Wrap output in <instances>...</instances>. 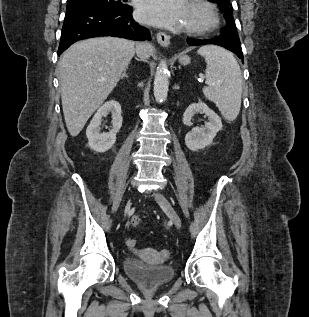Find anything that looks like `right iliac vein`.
Segmentation results:
<instances>
[{
    "label": "right iliac vein",
    "instance_id": "63e3f726",
    "mask_svg": "<svg viewBox=\"0 0 309 317\" xmlns=\"http://www.w3.org/2000/svg\"><path fill=\"white\" fill-rule=\"evenodd\" d=\"M131 200H129L127 203H126V206H125V213H127L129 210H130V207H131Z\"/></svg>",
    "mask_w": 309,
    "mask_h": 317
}]
</instances>
